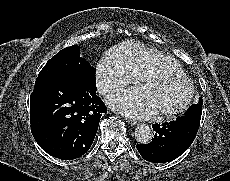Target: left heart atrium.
Returning a JSON list of instances; mask_svg holds the SVG:
<instances>
[{"label": "left heart atrium", "instance_id": "1", "mask_svg": "<svg viewBox=\"0 0 230 181\" xmlns=\"http://www.w3.org/2000/svg\"><path fill=\"white\" fill-rule=\"evenodd\" d=\"M144 89L130 88L109 98V106L135 118H149L156 109L142 95Z\"/></svg>", "mask_w": 230, "mask_h": 181}]
</instances>
